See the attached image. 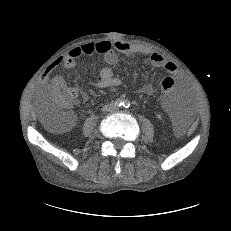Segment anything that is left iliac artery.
I'll use <instances>...</instances> for the list:
<instances>
[{"instance_id":"1","label":"left iliac artery","mask_w":231,"mask_h":231,"mask_svg":"<svg viewBox=\"0 0 231 231\" xmlns=\"http://www.w3.org/2000/svg\"><path fill=\"white\" fill-rule=\"evenodd\" d=\"M125 108H128L130 106V102L128 100H124L122 104Z\"/></svg>"}]
</instances>
